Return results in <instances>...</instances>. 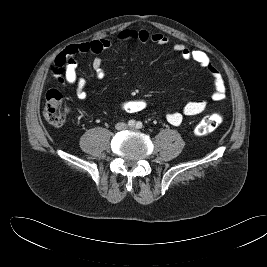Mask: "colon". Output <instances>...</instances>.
Returning a JSON list of instances; mask_svg holds the SVG:
<instances>
[{"label": "colon", "instance_id": "obj_1", "mask_svg": "<svg viewBox=\"0 0 267 267\" xmlns=\"http://www.w3.org/2000/svg\"><path fill=\"white\" fill-rule=\"evenodd\" d=\"M147 107V103L141 99H131L121 103V109L125 112H140ZM45 120L53 126H60L64 122L65 109L63 106V96L57 89H51L46 94V102L43 108ZM222 122V116L214 113L205 116L195 127L198 136L212 133Z\"/></svg>", "mask_w": 267, "mask_h": 267}]
</instances>
